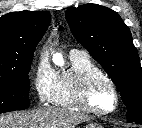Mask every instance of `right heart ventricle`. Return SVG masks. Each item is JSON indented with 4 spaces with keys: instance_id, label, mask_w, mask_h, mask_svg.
Wrapping results in <instances>:
<instances>
[{
    "instance_id": "1",
    "label": "right heart ventricle",
    "mask_w": 142,
    "mask_h": 128,
    "mask_svg": "<svg viewBox=\"0 0 142 128\" xmlns=\"http://www.w3.org/2000/svg\"><path fill=\"white\" fill-rule=\"evenodd\" d=\"M71 67L56 72L50 102L58 107L80 110L76 98L81 79L89 74L103 73L88 55H70Z\"/></svg>"
}]
</instances>
